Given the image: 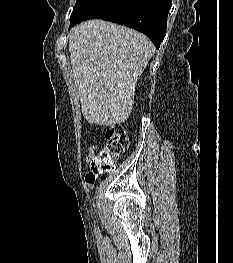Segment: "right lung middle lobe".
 Listing matches in <instances>:
<instances>
[{
	"label": "right lung middle lobe",
	"instance_id": "right-lung-middle-lobe-1",
	"mask_svg": "<svg viewBox=\"0 0 233 263\" xmlns=\"http://www.w3.org/2000/svg\"><path fill=\"white\" fill-rule=\"evenodd\" d=\"M124 0H77L70 17V25L93 18H106Z\"/></svg>",
	"mask_w": 233,
	"mask_h": 263
}]
</instances>
